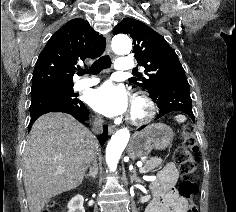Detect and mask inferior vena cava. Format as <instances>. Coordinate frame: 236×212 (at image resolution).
<instances>
[{
	"mask_svg": "<svg viewBox=\"0 0 236 212\" xmlns=\"http://www.w3.org/2000/svg\"><path fill=\"white\" fill-rule=\"evenodd\" d=\"M102 125H103V120L101 118H96L93 121V128H92L93 132L96 134L102 133V130H103ZM96 154L97 153H95L91 159L92 167H90V170L96 168L98 171L97 162H96Z\"/></svg>",
	"mask_w": 236,
	"mask_h": 212,
	"instance_id": "602c4592",
	"label": "inferior vena cava"
}]
</instances>
